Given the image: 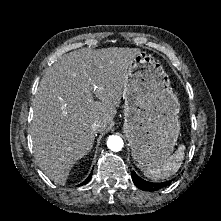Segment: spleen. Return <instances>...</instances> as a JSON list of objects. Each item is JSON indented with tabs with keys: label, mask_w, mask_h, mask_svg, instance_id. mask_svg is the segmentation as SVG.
<instances>
[{
	"label": "spleen",
	"mask_w": 221,
	"mask_h": 221,
	"mask_svg": "<svg viewBox=\"0 0 221 221\" xmlns=\"http://www.w3.org/2000/svg\"><path fill=\"white\" fill-rule=\"evenodd\" d=\"M185 145L181 144L178 150L171 155L164 164L154 168L145 169L144 175L151 180H160L170 177L175 174L182 165L184 159Z\"/></svg>",
	"instance_id": "spleen-1"
}]
</instances>
